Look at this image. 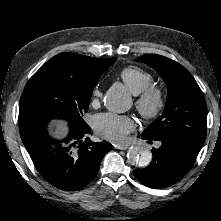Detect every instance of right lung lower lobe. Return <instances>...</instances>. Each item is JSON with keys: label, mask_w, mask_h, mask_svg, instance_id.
Segmentation results:
<instances>
[{"label": "right lung lower lobe", "mask_w": 221, "mask_h": 221, "mask_svg": "<svg viewBox=\"0 0 221 221\" xmlns=\"http://www.w3.org/2000/svg\"><path fill=\"white\" fill-rule=\"evenodd\" d=\"M91 128L69 124L63 140L49 137L47 122L20 127L23 144L41 176L60 190L75 191L88 185L99 171L104 155L113 149L106 142L82 140Z\"/></svg>", "instance_id": "obj_1"}]
</instances>
